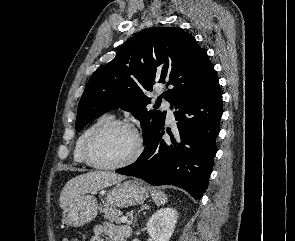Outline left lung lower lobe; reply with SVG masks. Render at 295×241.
<instances>
[{
	"mask_svg": "<svg viewBox=\"0 0 295 241\" xmlns=\"http://www.w3.org/2000/svg\"><path fill=\"white\" fill-rule=\"evenodd\" d=\"M175 106V138L167 129L171 140L162 139L163 124L139 159L116 172L156 186L174 185L200 199L208 187L223 113L218 77L214 76Z\"/></svg>",
	"mask_w": 295,
	"mask_h": 241,
	"instance_id": "obj_1",
	"label": "left lung lower lobe"
}]
</instances>
